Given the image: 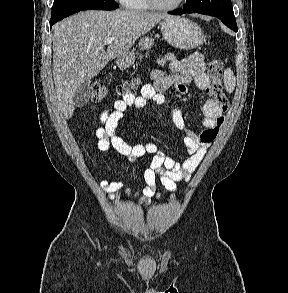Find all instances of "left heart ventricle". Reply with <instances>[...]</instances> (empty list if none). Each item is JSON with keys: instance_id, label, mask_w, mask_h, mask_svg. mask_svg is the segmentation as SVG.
Instances as JSON below:
<instances>
[{"instance_id": "left-heart-ventricle-1", "label": "left heart ventricle", "mask_w": 288, "mask_h": 293, "mask_svg": "<svg viewBox=\"0 0 288 293\" xmlns=\"http://www.w3.org/2000/svg\"><path fill=\"white\" fill-rule=\"evenodd\" d=\"M156 1L163 5H170V4H173L176 0H156Z\"/></svg>"}]
</instances>
